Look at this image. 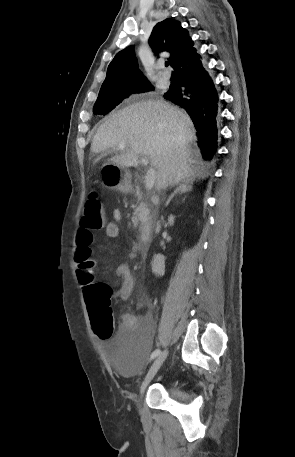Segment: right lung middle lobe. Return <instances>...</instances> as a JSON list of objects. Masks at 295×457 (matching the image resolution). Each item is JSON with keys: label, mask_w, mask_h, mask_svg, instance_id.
I'll use <instances>...</instances> for the list:
<instances>
[{"label": "right lung middle lobe", "mask_w": 295, "mask_h": 457, "mask_svg": "<svg viewBox=\"0 0 295 457\" xmlns=\"http://www.w3.org/2000/svg\"><path fill=\"white\" fill-rule=\"evenodd\" d=\"M154 90L148 80L134 84L124 85L112 90L99 92L98 98L93 108L94 114L105 115L113 110L123 99L134 92H145Z\"/></svg>", "instance_id": "dd1d6c3e"}]
</instances>
